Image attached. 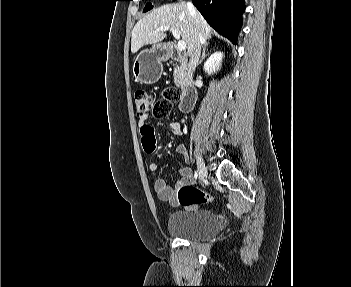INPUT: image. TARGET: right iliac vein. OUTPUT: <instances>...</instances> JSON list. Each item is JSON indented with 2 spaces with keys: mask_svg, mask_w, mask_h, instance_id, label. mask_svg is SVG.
Wrapping results in <instances>:
<instances>
[{
  "mask_svg": "<svg viewBox=\"0 0 351 287\" xmlns=\"http://www.w3.org/2000/svg\"><path fill=\"white\" fill-rule=\"evenodd\" d=\"M197 168H198L199 178L201 180H204L207 177L208 172H207V168L205 166L204 160L200 155L197 156Z\"/></svg>",
  "mask_w": 351,
  "mask_h": 287,
  "instance_id": "obj_1",
  "label": "right iliac vein"
}]
</instances>
